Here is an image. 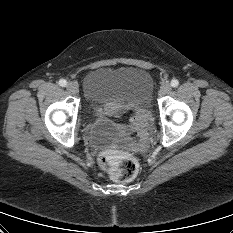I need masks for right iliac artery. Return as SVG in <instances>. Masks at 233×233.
Returning a JSON list of instances; mask_svg holds the SVG:
<instances>
[{"instance_id":"82829eb1","label":"right iliac artery","mask_w":233,"mask_h":233,"mask_svg":"<svg viewBox=\"0 0 233 233\" xmlns=\"http://www.w3.org/2000/svg\"><path fill=\"white\" fill-rule=\"evenodd\" d=\"M59 85L61 87H65L67 85V81L65 79H61V80H59Z\"/></svg>"}]
</instances>
